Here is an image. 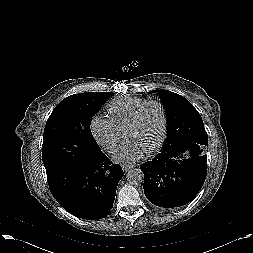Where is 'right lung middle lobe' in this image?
I'll return each instance as SVG.
<instances>
[{
  "label": "right lung middle lobe",
  "instance_id": "right-lung-middle-lobe-1",
  "mask_svg": "<svg viewBox=\"0 0 253 253\" xmlns=\"http://www.w3.org/2000/svg\"><path fill=\"white\" fill-rule=\"evenodd\" d=\"M113 92H87L62 100L49 116L43 136L42 159L46 170L87 160L101 151L90 123Z\"/></svg>",
  "mask_w": 253,
  "mask_h": 253
}]
</instances>
